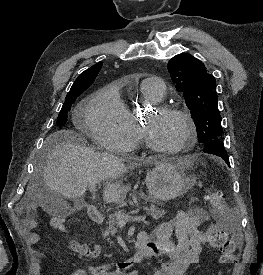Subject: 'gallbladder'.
<instances>
[{"label": "gallbladder", "instance_id": "obj_1", "mask_svg": "<svg viewBox=\"0 0 263 275\" xmlns=\"http://www.w3.org/2000/svg\"><path fill=\"white\" fill-rule=\"evenodd\" d=\"M38 200L42 209L51 216L65 218L73 212L70 204L57 191L44 188Z\"/></svg>", "mask_w": 263, "mask_h": 275}]
</instances>
